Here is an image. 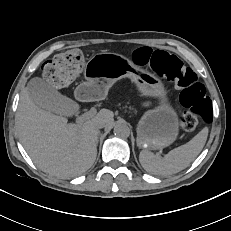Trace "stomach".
Here are the masks:
<instances>
[{
  "label": "stomach",
  "mask_w": 231,
  "mask_h": 231,
  "mask_svg": "<svg viewBox=\"0 0 231 231\" xmlns=\"http://www.w3.org/2000/svg\"><path fill=\"white\" fill-rule=\"evenodd\" d=\"M140 71V72H139ZM87 80L78 86L76 95L83 101L102 100L118 80L128 77L142 96L159 100V105L144 113L137 125V145L145 149H161L178 137L179 120L170 106L167 92L153 74L141 71L128 58L116 53H98L84 65Z\"/></svg>",
  "instance_id": "obj_1"
}]
</instances>
